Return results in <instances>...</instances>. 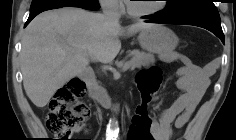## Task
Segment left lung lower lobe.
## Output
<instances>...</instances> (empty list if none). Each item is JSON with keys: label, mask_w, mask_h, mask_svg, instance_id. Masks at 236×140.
<instances>
[{"label": "left lung lower lobe", "mask_w": 236, "mask_h": 140, "mask_svg": "<svg viewBox=\"0 0 236 140\" xmlns=\"http://www.w3.org/2000/svg\"><path fill=\"white\" fill-rule=\"evenodd\" d=\"M150 23H162V24H186V25H194L198 27L205 28L212 33H214L220 40L224 43V34L221 28V23H216L212 21H206V20H199V19H171L166 18L162 14H159L155 16L154 18H150Z\"/></svg>", "instance_id": "1"}]
</instances>
